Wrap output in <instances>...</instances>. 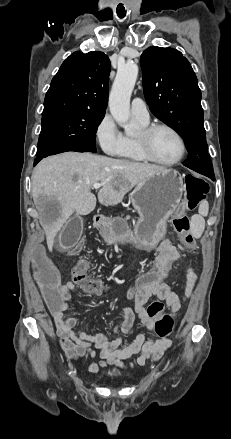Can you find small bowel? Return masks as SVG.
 <instances>
[{"label": "small bowel", "mask_w": 231, "mask_h": 439, "mask_svg": "<svg viewBox=\"0 0 231 439\" xmlns=\"http://www.w3.org/2000/svg\"><path fill=\"white\" fill-rule=\"evenodd\" d=\"M169 256L179 257L178 250L171 242L163 241L159 246L155 260ZM196 280L195 272L193 269H189L182 297L171 290V283H143L135 290V297L128 298L134 300V307L124 306L121 308L120 319L111 334L96 333L93 335L86 333L83 328L79 327L77 318L66 316L71 296L77 289L75 283L59 284L57 293L62 296V307L58 313L51 314L60 347L66 356L73 360L87 355L93 358L98 357L100 361L90 366L91 372H97L107 365L126 369L135 364L144 365L147 361H157L170 348L171 341L168 338L155 339L154 322L162 314L165 305L170 313L178 312L182 301L191 295ZM150 298H157L158 301L146 307ZM136 317L139 319L140 331L129 345L121 348L123 337L133 328ZM143 330L148 331L150 335L146 336ZM133 355H137L136 361L125 363Z\"/></svg>", "instance_id": "small-bowel-1"}]
</instances>
